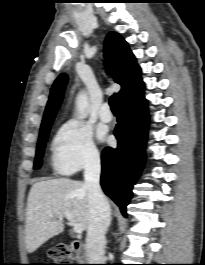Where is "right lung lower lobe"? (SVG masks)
Segmentation results:
<instances>
[{
  "label": "right lung lower lobe",
  "instance_id": "1",
  "mask_svg": "<svg viewBox=\"0 0 205 265\" xmlns=\"http://www.w3.org/2000/svg\"><path fill=\"white\" fill-rule=\"evenodd\" d=\"M114 135L116 149L102 152L101 186L126 216L132 198V187L143 169L148 132V106L144 96L120 108Z\"/></svg>",
  "mask_w": 205,
  "mask_h": 265
}]
</instances>
